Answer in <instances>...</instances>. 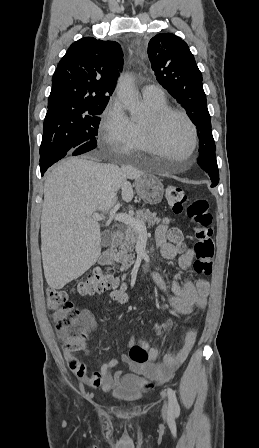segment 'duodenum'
Masks as SVG:
<instances>
[{"instance_id": "duodenum-1", "label": "duodenum", "mask_w": 259, "mask_h": 448, "mask_svg": "<svg viewBox=\"0 0 259 448\" xmlns=\"http://www.w3.org/2000/svg\"><path fill=\"white\" fill-rule=\"evenodd\" d=\"M122 230L116 229L111 236L110 247L102 252L99 258V263L103 266H112L114 264V258L112 250L116 248L122 239Z\"/></svg>"}]
</instances>
